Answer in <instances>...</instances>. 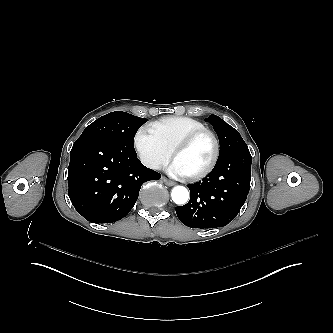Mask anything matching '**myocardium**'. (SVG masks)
<instances>
[{
  "label": "myocardium",
  "mask_w": 333,
  "mask_h": 333,
  "mask_svg": "<svg viewBox=\"0 0 333 333\" xmlns=\"http://www.w3.org/2000/svg\"><path fill=\"white\" fill-rule=\"evenodd\" d=\"M204 134L209 135L211 137L213 143H214L213 156H212L211 160L209 161V163L205 167H203L202 169H200L199 171H197L194 174L185 176L184 179L186 181H196L198 179H201L213 170V168L217 164V162L219 160V157H220V142H219L218 137L216 136V134L213 131H211L209 129H206V128L195 130V131L185 135L182 139H180L172 147V149L170 151V159H172V157L176 153H178L181 150L190 146L197 138H199L200 136H202Z\"/></svg>",
  "instance_id": "f54148a6"
}]
</instances>
